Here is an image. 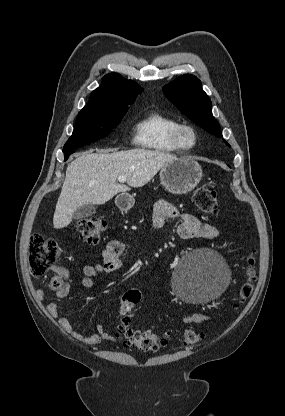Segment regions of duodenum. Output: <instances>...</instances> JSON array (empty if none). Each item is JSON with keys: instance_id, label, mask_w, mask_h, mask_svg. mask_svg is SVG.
<instances>
[{"instance_id": "1", "label": "duodenum", "mask_w": 285, "mask_h": 416, "mask_svg": "<svg viewBox=\"0 0 285 416\" xmlns=\"http://www.w3.org/2000/svg\"><path fill=\"white\" fill-rule=\"evenodd\" d=\"M115 204L116 206H124V207H128V206H132L133 204V199L131 197L130 193H119L118 197H116L115 199Z\"/></svg>"}]
</instances>
